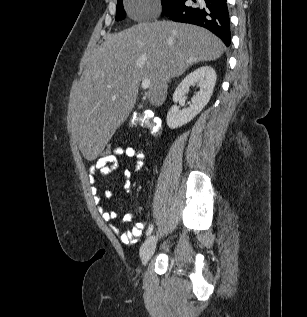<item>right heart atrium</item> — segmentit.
I'll return each instance as SVG.
<instances>
[{
	"mask_svg": "<svg viewBox=\"0 0 307 317\" xmlns=\"http://www.w3.org/2000/svg\"><path fill=\"white\" fill-rule=\"evenodd\" d=\"M143 1V0H138ZM157 10L153 6L149 5H143L141 7H138L134 13V16L136 18L144 19V18H150L156 14Z\"/></svg>",
	"mask_w": 307,
	"mask_h": 317,
	"instance_id": "d8ad5b80",
	"label": "right heart atrium"
}]
</instances>
